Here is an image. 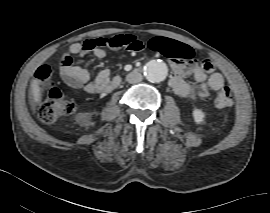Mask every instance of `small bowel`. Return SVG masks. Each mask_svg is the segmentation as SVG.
<instances>
[{
    "instance_id": "1",
    "label": "small bowel",
    "mask_w": 270,
    "mask_h": 213,
    "mask_svg": "<svg viewBox=\"0 0 270 213\" xmlns=\"http://www.w3.org/2000/svg\"><path fill=\"white\" fill-rule=\"evenodd\" d=\"M179 45L176 53L169 54L171 67L174 75L171 79V87L173 90L184 98L208 97L211 92L221 89L226 78L220 72L213 71L212 68L207 71L202 66L194 65L195 51L182 43L171 40H165ZM149 47L156 49L152 43ZM141 44L135 41L131 42L129 36L116 35L107 38L87 39L81 43H74L66 47L61 53L60 60L71 59L74 55L83 57L85 54L92 52L94 59L99 62L105 55L107 50H129L138 52ZM60 73L63 80L74 89L83 88L89 94L107 93L115 89L120 83V77H111L108 69H102L95 79L91 80L89 72L78 65H61ZM192 75L198 86H192L186 82L185 78Z\"/></svg>"
}]
</instances>
